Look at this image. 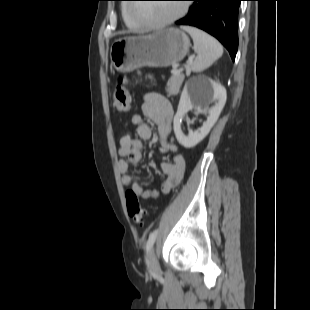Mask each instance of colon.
Instances as JSON below:
<instances>
[{
	"label": "colon",
	"instance_id": "obj_1",
	"mask_svg": "<svg viewBox=\"0 0 310 310\" xmlns=\"http://www.w3.org/2000/svg\"><path fill=\"white\" fill-rule=\"evenodd\" d=\"M147 77L149 78V76ZM129 84L130 82L126 75L118 77L113 92V107L117 112H126L130 107L131 94ZM125 198L129 216L135 223L141 225L144 220V210L140 203L139 196L132 189H129L126 192Z\"/></svg>",
	"mask_w": 310,
	"mask_h": 310
}]
</instances>
